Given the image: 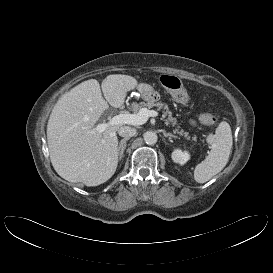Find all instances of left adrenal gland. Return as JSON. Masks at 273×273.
Returning a JSON list of instances; mask_svg holds the SVG:
<instances>
[{"label": "left adrenal gland", "mask_w": 273, "mask_h": 273, "mask_svg": "<svg viewBox=\"0 0 273 273\" xmlns=\"http://www.w3.org/2000/svg\"><path fill=\"white\" fill-rule=\"evenodd\" d=\"M163 135H164V137H169V138H177V136H175V135H173V134H171V133H167L166 131H163Z\"/></svg>", "instance_id": "obj_1"}]
</instances>
